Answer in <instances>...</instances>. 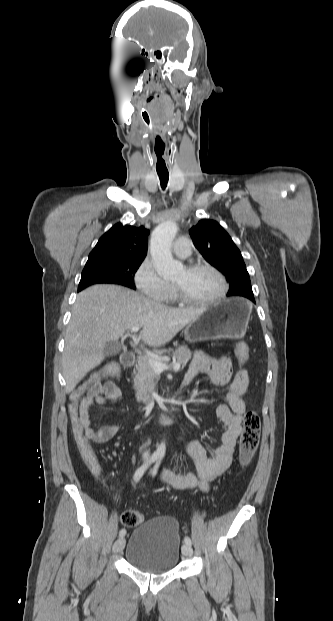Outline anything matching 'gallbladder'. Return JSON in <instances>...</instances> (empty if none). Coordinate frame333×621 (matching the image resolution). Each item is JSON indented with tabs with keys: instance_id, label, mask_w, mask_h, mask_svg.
<instances>
[{
	"instance_id": "bac80fb5",
	"label": "gallbladder",
	"mask_w": 333,
	"mask_h": 621,
	"mask_svg": "<svg viewBox=\"0 0 333 621\" xmlns=\"http://www.w3.org/2000/svg\"><path fill=\"white\" fill-rule=\"evenodd\" d=\"M122 350V347L119 343L115 341L108 342L105 348V354L107 356H114L118 354Z\"/></svg>"
}]
</instances>
